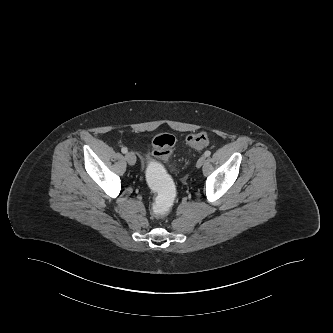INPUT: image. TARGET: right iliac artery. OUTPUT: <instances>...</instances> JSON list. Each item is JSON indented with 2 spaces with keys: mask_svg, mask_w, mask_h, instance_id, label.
Wrapping results in <instances>:
<instances>
[{
  "mask_svg": "<svg viewBox=\"0 0 333 333\" xmlns=\"http://www.w3.org/2000/svg\"><path fill=\"white\" fill-rule=\"evenodd\" d=\"M121 152L124 153V154H126V153L128 152V149H127L126 147H123V148L121 149Z\"/></svg>",
  "mask_w": 333,
  "mask_h": 333,
  "instance_id": "obj_1",
  "label": "right iliac artery"
}]
</instances>
